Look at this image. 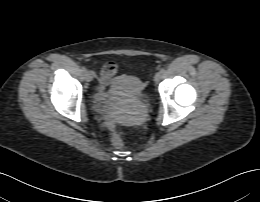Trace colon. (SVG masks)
<instances>
[{
    "instance_id": "colon-1",
    "label": "colon",
    "mask_w": 260,
    "mask_h": 202,
    "mask_svg": "<svg viewBox=\"0 0 260 202\" xmlns=\"http://www.w3.org/2000/svg\"><path fill=\"white\" fill-rule=\"evenodd\" d=\"M115 72H116V66L112 62H108L104 64L100 70L101 75L105 79L112 77L115 74ZM124 136H125L124 131L122 130L117 131L111 139L112 147L115 149L124 148Z\"/></svg>"
}]
</instances>
